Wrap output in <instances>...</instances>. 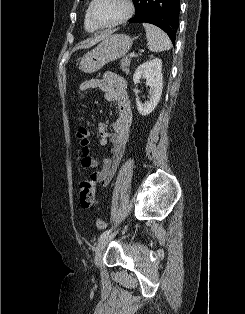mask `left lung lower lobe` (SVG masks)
<instances>
[{
    "label": "left lung lower lobe",
    "mask_w": 245,
    "mask_h": 314,
    "mask_svg": "<svg viewBox=\"0 0 245 314\" xmlns=\"http://www.w3.org/2000/svg\"><path fill=\"white\" fill-rule=\"evenodd\" d=\"M179 0H140L139 10L131 23H151L163 29L175 42L179 25Z\"/></svg>",
    "instance_id": "0a47b994"
}]
</instances>
